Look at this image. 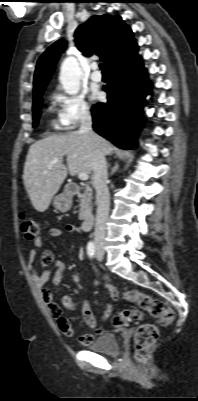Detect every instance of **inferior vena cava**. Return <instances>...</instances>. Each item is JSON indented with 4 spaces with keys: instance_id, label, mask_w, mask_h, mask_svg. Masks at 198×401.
Returning a JSON list of instances; mask_svg holds the SVG:
<instances>
[{
    "instance_id": "602c4592",
    "label": "inferior vena cava",
    "mask_w": 198,
    "mask_h": 401,
    "mask_svg": "<svg viewBox=\"0 0 198 401\" xmlns=\"http://www.w3.org/2000/svg\"><path fill=\"white\" fill-rule=\"evenodd\" d=\"M80 132L86 134L94 142L93 184L96 190L97 213L94 231V243L103 245L106 233V222L109 215L110 196L107 187V162L105 154L98 144V136L92 129V118L89 111H84L80 117Z\"/></svg>"
}]
</instances>
